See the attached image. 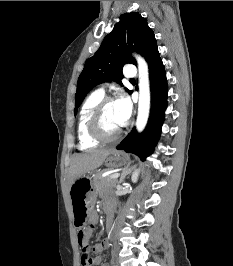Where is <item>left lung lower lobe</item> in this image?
Masks as SVG:
<instances>
[{"mask_svg": "<svg viewBox=\"0 0 233 266\" xmlns=\"http://www.w3.org/2000/svg\"><path fill=\"white\" fill-rule=\"evenodd\" d=\"M149 65L151 89V117L146 129L137 133L135 128L116 147L119 150L131 152L145 160L154 150L164 121V111L167 107V80L164 65L156 46L145 57ZM131 93V92H130Z\"/></svg>", "mask_w": 233, "mask_h": 266, "instance_id": "left-lung-lower-lobe-1", "label": "left lung lower lobe"}]
</instances>
